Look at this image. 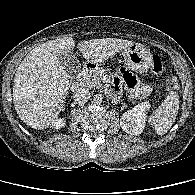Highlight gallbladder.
<instances>
[{
	"label": "gallbladder",
	"instance_id": "obj_1",
	"mask_svg": "<svg viewBox=\"0 0 195 195\" xmlns=\"http://www.w3.org/2000/svg\"><path fill=\"white\" fill-rule=\"evenodd\" d=\"M59 60L70 75H73L80 69V61L73 52L60 55Z\"/></svg>",
	"mask_w": 195,
	"mask_h": 195
}]
</instances>
